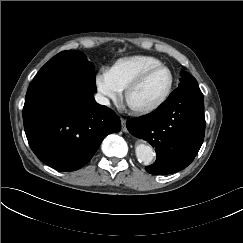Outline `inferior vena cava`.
Here are the masks:
<instances>
[{"label": "inferior vena cava", "instance_id": "602c4592", "mask_svg": "<svg viewBox=\"0 0 243 243\" xmlns=\"http://www.w3.org/2000/svg\"><path fill=\"white\" fill-rule=\"evenodd\" d=\"M95 100L98 104L101 105H105V106H109L110 105V101L108 98H106L105 96H103L102 94H96L95 95Z\"/></svg>", "mask_w": 243, "mask_h": 243}]
</instances>
